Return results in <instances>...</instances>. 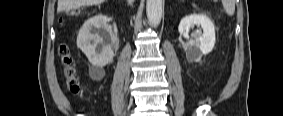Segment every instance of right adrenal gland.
Here are the masks:
<instances>
[{
  "label": "right adrenal gland",
  "mask_w": 283,
  "mask_h": 116,
  "mask_svg": "<svg viewBox=\"0 0 283 116\" xmlns=\"http://www.w3.org/2000/svg\"><path fill=\"white\" fill-rule=\"evenodd\" d=\"M133 0H127L128 5H132Z\"/></svg>",
  "instance_id": "right-adrenal-gland-1"
}]
</instances>
